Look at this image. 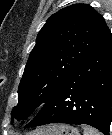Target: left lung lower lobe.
I'll return each mask as SVG.
<instances>
[{
  "label": "left lung lower lobe",
  "instance_id": "obj_1",
  "mask_svg": "<svg viewBox=\"0 0 112 135\" xmlns=\"http://www.w3.org/2000/svg\"><path fill=\"white\" fill-rule=\"evenodd\" d=\"M111 107L112 38L108 30L26 128L87 124L109 135Z\"/></svg>",
  "mask_w": 112,
  "mask_h": 135
}]
</instances>
